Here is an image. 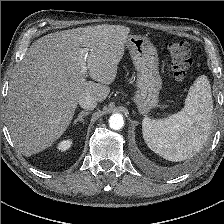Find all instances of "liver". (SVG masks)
<instances>
[{
  "label": "liver",
  "mask_w": 224,
  "mask_h": 224,
  "mask_svg": "<svg viewBox=\"0 0 224 224\" xmlns=\"http://www.w3.org/2000/svg\"><path fill=\"white\" fill-rule=\"evenodd\" d=\"M129 33L121 25L89 26L50 33L30 46L10 83L6 114L23 155L51 147L66 131L80 99L105 100ZM83 47L89 76L97 83L81 73Z\"/></svg>",
  "instance_id": "liver-1"
}]
</instances>
